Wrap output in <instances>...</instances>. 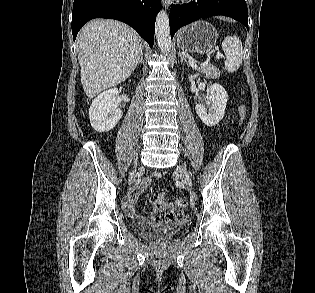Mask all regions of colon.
<instances>
[{"mask_svg": "<svg viewBox=\"0 0 315 293\" xmlns=\"http://www.w3.org/2000/svg\"><path fill=\"white\" fill-rule=\"evenodd\" d=\"M240 116H241V118L238 120L237 125H238V127H245L246 120L244 118H248V116H249V106L248 105H241L240 106ZM176 206L180 210L186 208L187 207V200L184 198L177 199L176 200Z\"/></svg>", "mask_w": 315, "mask_h": 293, "instance_id": "1", "label": "colon"}]
</instances>
